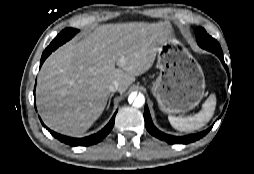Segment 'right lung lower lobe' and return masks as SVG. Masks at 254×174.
Here are the masks:
<instances>
[{
  "instance_id": "98d812e1",
  "label": "right lung lower lobe",
  "mask_w": 254,
  "mask_h": 174,
  "mask_svg": "<svg viewBox=\"0 0 254 174\" xmlns=\"http://www.w3.org/2000/svg\"><path fill=\"white\" fill-rule=\"evenodd\" d=\"M68 40H69V37L55 38L54 41H52L51 44L43 52L41 61H40V67L43 64L44 60L51 54L52 51H54L56 48H58L60 45H62ZM34 93H35V90H34ZM116 112L111 118V120L109 121V123L101 131L85 138H70L67 136H63L61 134H57L56 132H53L52 130L47 128L42 121L41 122H42V125L52 134V136H54L61 142L71 146H89V145H93L100 142L112 130L114 126Z\"/></svg>"
}]
</instances>
